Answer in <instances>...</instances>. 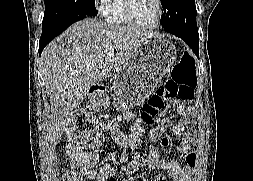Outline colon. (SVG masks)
<instances>
[{"label": "colon", "instance_id": "colon-1", "mask_svg": "<svg viewBox=\"0 0 253 181\" xmlns=\"http://www.w3.org/2000/svg\"><path fill=\"white\" fill-rule=\"evenodd\" d=\"M176 54L180 55L181 51L177 50ZM196 82L194 59L187 52H184L179 64L173 69L171 77L145 103L141 112L142 120L145 123H151L166 101L178 98L190 104L193 101ZM100 135V124L96 117L84 110H79L73 114L66 130L67 149L77 147L97 148L100 143ZM136 160L137 163L142 165L144 162L152 160V158L151 155L139 154ZM66 181H78V178L67 175Z\"/></svg>", "mask_w": 253, "mask_h": 181}]
</instances>
